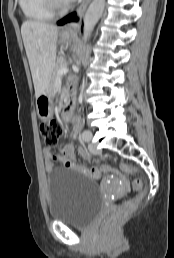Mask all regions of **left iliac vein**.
I'll return each mask as SVG.
<instances>
[{
    "label": "left iliac vein",
    "instance_id": "left-iliac-vein-1",
    "mask_svg": "<svg viewBox=\"0 0 174 258\" xmlns=\"http://www.w3.org/2000/svg\"><path fill=\"white\" fill-rule=\"evenodd\" d=\"M91 137H92V134H91ZM89 150L92 154H99L100 153V150L96 148L95 144L91 143L89 144Z\"/></svg>",
    "mask_w": 174,
    "mask_h": 258
}]
</instances>
